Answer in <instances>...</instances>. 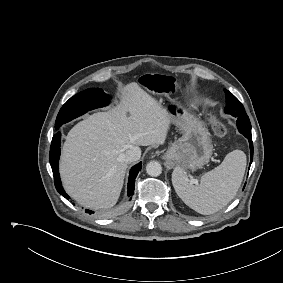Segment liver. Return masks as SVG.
Wrapping results in <instances>:
<instances>
[{
    "label": "liver",
    "instance_id": "obj_1",
    "mask_svg": "<svg viewBox=\"0 0 283 283\" xmlns=\"http://www.w3.org/2000/svg\"><path fill=\"white\" fill-rule=\"evenodd\" d=\"M122 100L108 112L77 123L63 145L60 173L67 193L89 208L113 207L124 182L122 155L166 140L171 116L135 82L121 90Z\"/></svg>",
    "mask_w": 283,
    "mask_h": 283
}]
</instances>
